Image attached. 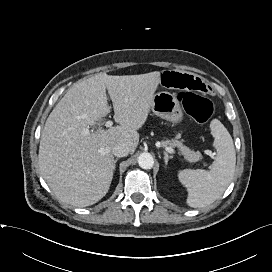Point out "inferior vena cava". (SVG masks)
Wrapping results in <instances>:
<instances>
[{"label":"inferior vena cava","instance_id":"602c4592","mask_svg":"<svg viewBox=\"0 0 272 272\" xmlns=\"http://www.w3.org/2000/svg\"><path fill=\"white\" fill-rule=\"evenodd\" d=\"M130 152V148L126 144H117L112 148V153L116 157L127 156Z\"/></svg>","mask_w":272,"mask_h":272}]
</instances>
